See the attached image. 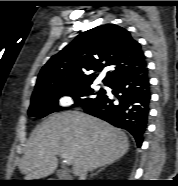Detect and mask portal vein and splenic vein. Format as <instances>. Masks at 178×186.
Returning a JSON list of instances; mask_svg holds the SVG:
<instances>
[{
    "label": "portal vein and splenic vein",
    "instance_id": "obj_1",
    "mask_svg": "<svg viewBox=\"0 0 178 186\" xmlns=\"http://www.w3.org/2000/svg\"><path fill=\"white\" fill-rule=\"evenodd\" d=\"M61 158H63V161L66 163V165H71L72 164V159L68 155H61Z\"/></svg>",
    "mask_w": 178,
    "mask_h": 186
}]
</instances>
